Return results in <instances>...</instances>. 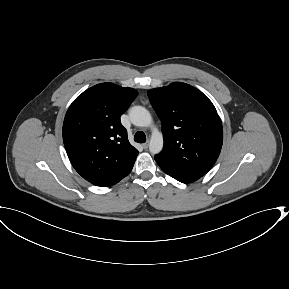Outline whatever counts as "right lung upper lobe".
<instances>
[{"label":"right lung upper lobe","mask_w":289,"mask_h":289,"mask_svg":"<svg viewBox=\"0 0 289 289\" xmlns=\"http://www.w3.org/2000/svg\"><path fill=\"white\" fill-rule=\"evenodd\" d=\"M138 92L112 83L95 85L70 105L63 142L75 170L96 186H111L126 177L138 155L128 141L120 116Z\"/></svg>","instance_id":"1"}]
</instances>
